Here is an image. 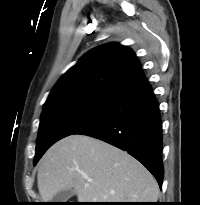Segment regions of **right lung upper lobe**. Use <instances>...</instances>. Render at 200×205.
Listing matches in <instances>:
<instances>
[{"instance_id":"1","label":"right lung upper lobe","mask_w":200,"mask_h":205,"mask_svg":"<svg viewBox=\"0 0 200 205\" xmlns=\"http://www.w3.org/2000/svg\"><path fill=\"white\" fill-rule=\"evenodd\" d=\"M143 79L133 51L109 43L92 49L70 68L54 86L44 107L74 97L116 99Z\"/></svg>"}]
</instances>
